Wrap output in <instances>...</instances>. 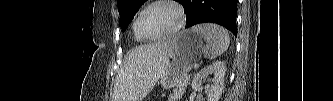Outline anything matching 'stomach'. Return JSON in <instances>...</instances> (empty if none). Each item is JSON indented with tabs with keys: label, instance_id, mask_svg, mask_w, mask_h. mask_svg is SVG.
<instances>
[{
	"label": "stomach",
	"instance_id": "1",
	"mask_svg": "<svg viewBox=\"0 0 333 101\" xmlns=\"http://www.w3.org/2000/svg\"><path fill=\"white\" fill-rule=\"evenodd\" d=\"M202 38L200 33L191 29L181 31L168 40V62L160 77V84L165 89L176 87L181 78L188 75L192 66L200 60L204 52Z\"/></svg>",
	"mask_w": 333,
	"mask_h": 101
}]
</instances>
